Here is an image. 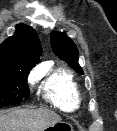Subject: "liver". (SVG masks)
Wrapping results in <instances>:
<instances>
[{"label":"liver","mask_w":117,"mask_h":131,"mask_svg":"<svg viewBox=\"0 0 117 131\" xmlns=\"http://www.w3.org/2000/svg\"><path fill=\"white\" fill-rule=\"evenodd\" d=\"M60 120V116L48 109L1 111L0 131H43Z\"/></svg>","instance_id":"1"}]
</instances>
